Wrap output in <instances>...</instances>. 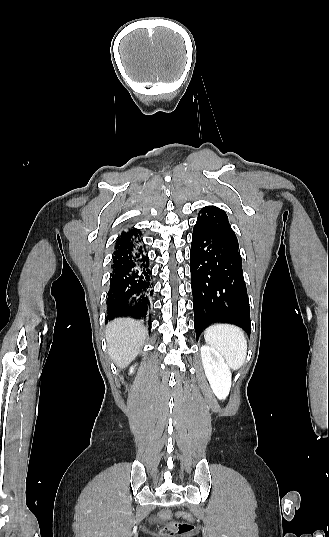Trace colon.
Segmentation results:
<instances>
[{
  "label": "colon",
  "instance_id": "obj_1",
  "mask_svg": "<svg viewBox=\"0 0 329 537\" xmlns=\"http://www.w3.org/2000/svg\"><path fill=\"white\" fill-rule=\"evenodd\" d=\"M177 515L182 519V521H173L168 523L163 529L164 534L170 537L192 534L195 531V526L190 522L188 513L181 511L178 512ZM160 516L161 518L168 520L173 517V512L165 509L161 511Z\"/></svg>",
  "mask_w": 329,
  "mask_h": 537
}]
</instances>
